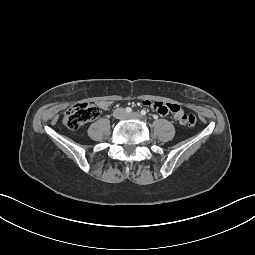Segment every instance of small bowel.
Returning <instances> with one entry per match:
<instances>
[{"label":"small bowel","instance_id":"obj_1","mask_svg":"<svg viewBox=\"0 0 255 255\" xmlns=\"http://www.w3.org/2000/svg\"><path fill=\"white\" fill-rule=\"evenodd\" d=\"M110 101H100L99 107L107 110L110 107ZM143 104L157 111L161 115H171L178 125H185L188 122V115L180 105L164 103L156 100H145Z\"/></svg>","mask_w":255,"mask_h":255}]
</instances>
